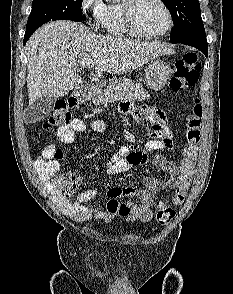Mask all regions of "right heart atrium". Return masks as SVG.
<instances>
[{
	"instance_id": "obj_1",
	"label": "right heart atrium",
	"mask_w": 233,
	"mask_h": 294,
	"mask_svg": "<svg viewBox=\"0 0 233 294\" xmlns=\"http://www.w3.org/2000/svg\"><path fill=\"white\" fill-rule=\"evenodd\" d=\"M80 7L85 16L90 17L96 26H100L106 10L103 0H81Z\"/></svg>"
}]
</instances>
